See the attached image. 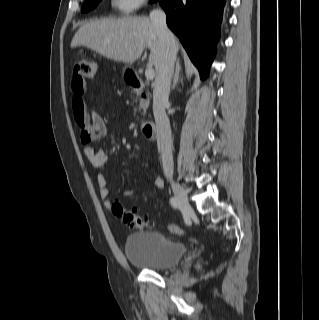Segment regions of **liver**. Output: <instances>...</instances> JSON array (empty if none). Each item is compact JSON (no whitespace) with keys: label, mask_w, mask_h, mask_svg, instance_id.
I'll return each mask as SVG.
<instances>
[{"label":"liver","mask_w":319,"mask_h":320,"mask_svg":"<svg viewBox=\"0 0 319 320\" xmlns=\"http://www.w3.org/2000/svg\"><path fill=\"white\" fill-rule=\"evenodd\" d=\"M176 43V51L179 46ZM87 47L114 61L132 64L145 48L150 49L149 63L157 73L162 45L153 22L144 16L122 19H95L81 26L71 41V48Z\"/></svg>","instance_id":"liver-1"}]
</instances>
